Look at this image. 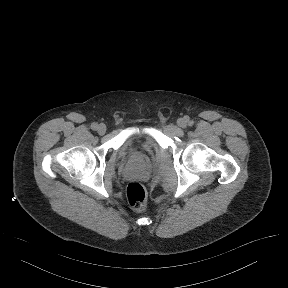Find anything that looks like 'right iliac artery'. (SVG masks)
<instances>
[{
	"instance_id": "right-iliac-artery-1",
	"label": "right iliac artery",
	"mask_w": 288,
	"mask_h": 288,
	"mask_svg": "<svg viewBox=\"0 0 288 288\" xmlns=\"http://www.w3.org/2000/svg\"><path fill=\"white\" fill-rule=\"evenodd\" d=\"M97 127H98V124L97 123H92L91 124V128L93 129V130H97Z\"/></svg>"
}]
</instances>
